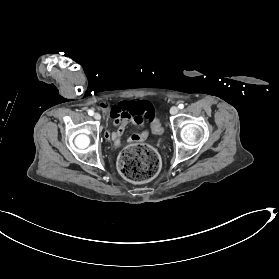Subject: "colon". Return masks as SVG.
I'll use <instances>...</instances> for the list:
<instances>
[{
  "mask_svg": "<svg viewBox=\"0 0 279 279\" xmlns=\"http://www.w3.org/2000/svg\"><path fill=\"white\" fill-rule=\"evenodd\" d=\"M106 110V106H101ZM153 130L160 132L157 121L153 122ZM160 157L157 152L148 145L138 144L126 148L119 156L118 166L121 175L135 183L148 181L155 177L160 170Z\"/></svg>",
  "mask_w": 279,
  "mask_h": 279,
  "instance_id": "5ec220e1",
  "label": "colon"
}]
</instances>
